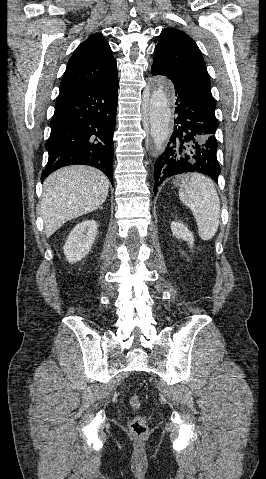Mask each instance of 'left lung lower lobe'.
<instances>
[{
	"mask_svg": "<svg viewBox=\"0 0 266 479\" xmlns=\"http://www.w3.org/2000/svg\"><path fill=\"white\" fill-rule=\"evenodd\" d=\"M152 75L161 74L151 67ZM177 97L174 130L165 151L154 165V194L169 177L186 172H198L218 183L221 172L217 161L215 131L218 122L215 105L187 87L174 83Z\"/></svg>",
	"mask_w": 266,
	"mask_h": 479,
	"instance_id": "1",
	"label": "left lung lower lobe"
}]
</instances>
